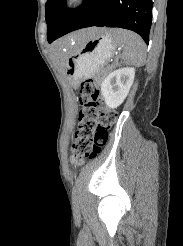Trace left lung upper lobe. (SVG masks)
<instances>
[{
  "label": "left lung upper lobe",
  "instance_id": "5c2ea615",
  "mask_svg": "<svg viewBox=\"0 0 183 246\" xmlns=\"http://www.w3.org/2000/svg\"><path fill=\"white\" fill-rule=\"evenodd\" d=\"M65 2L66 0H47L45 4L48 42L61 33L77 10L66 9Z\"/></svg>",
  "mask_w": 183,
  "mask_h": 246
}]
</instances>
